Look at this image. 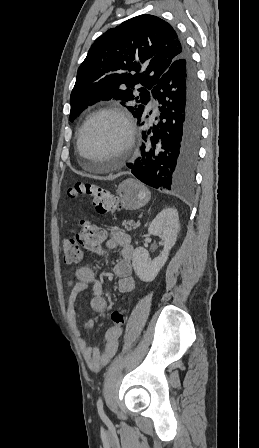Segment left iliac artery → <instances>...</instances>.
<instances>
[{"instance_id": "44dca946", "label": "left iliac artery", "mask_w": 259, "mask_h": 448, "mask_svg": "<svg viewBox=\"0 0 259 448\" xmlns=\"http://www.w3.org/2000/svg\"><path fill=\"white\" fill-rule=\"evenodd\" d=\"M97 409H98V413H99V415L102 417V419H103L106 423H109L110 421H109V419L106 417V415H105V413H104V410H103V402H102V399H101V398H99L98 401H97Z\"/></svg>"}]
</instances>
